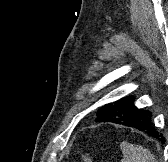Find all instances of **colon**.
I'll return each mask as SVG.
<instances>
[{
  "instance_id": "5ec220e1",
  "label": "colon",
  "mask_w": 168,
  "mask_h": 162,
  "mask_svg": "<svg viewBox=\"0 0 168 162\" xmlns=\"http://www.w3.org/2000/svg\"><path fill=\"white\" fill-rule=\"evenodd\" d=\"M81 162H93L92 159L87 155L81 156Z\"/></svg>"
}]
</instances>
